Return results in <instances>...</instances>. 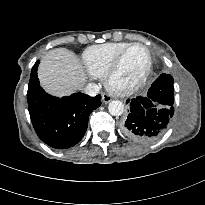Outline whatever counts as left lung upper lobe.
<instances>
[{
    "mask_svg": "<svg viewBox=\"0 0 205 205\" xmlns=\"http://www.w3.org/2000/svg\"><path fill=\"white\" fill-rule=\"evenodd\" d=\"M174 81L171 75L169 74H161L156 80L155 82L152 84L150 89H154L155 87L163 90V91H167L170 93V97L173 98L174 101V97H173V91H174ZM149 89V90H150ZM148 90V91H149Z\"/></svg>",
    "mask_w": 205,
    "mask_h": 205,
    "instance_id": "left-lung-upper-lobe-1",
    "label": "left lung upper lobe"
}]
</instances>
